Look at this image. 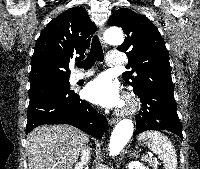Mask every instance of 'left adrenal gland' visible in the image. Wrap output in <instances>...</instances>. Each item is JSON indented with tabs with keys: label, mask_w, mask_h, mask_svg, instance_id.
I'll return each instance as SVG.
<instances>
[{
	"label": "left adrenal gland",
	"mask_w": 200,
	"mask_h": 169,
	"mask_svg": "<svg viewBox=\"0 0 200 169\" xmlns=\"http://www.w3.org/2000/svg\"><path fill=\"white\" fill-rule=\"evenodd\" d=\"M131 156H136V151L135 150H130L129 151L128 157H131Z\"/></svg>",
	"instance_id": "obj_1"
}]
</instances>
